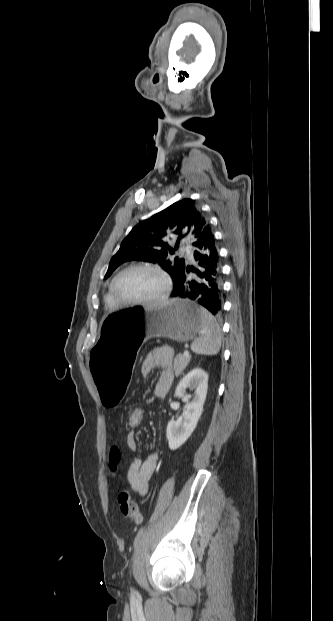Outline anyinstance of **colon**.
Wrapping results in <instances>:
<instances>
[{
	"instance_id": "colon-1",
	"label": "colon",
	"mask_w": 333,
	"mask_h": 621,
	"mask_svg": "<svg viewBox=\"0 0 333 621\" xmlns=\"http://www.w3.org/2000/svg\"><path fill=\"white\" fill-rule=\"evenodd\" d=\"M143 418V412L140 408H133L128 411L126 420L130 427H137ZM118 504L122 515L135 523L142 520L137 503L132 500L127 491H121L118 495Z\"/></svg>"
}]
</instances>
